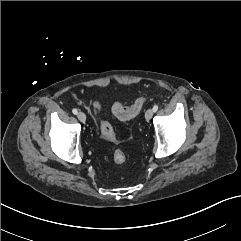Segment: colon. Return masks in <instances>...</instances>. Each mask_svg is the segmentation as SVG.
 Segmentation results:
<instances>
[{"instance_id":"obj_1","label":"colon","mask_w":241,"mask_h":241,"mask_svg":"<svg viewBox=\"0 0 241 241\" xmlns=\"http://www.w3.org/2000/svg\"><path fill=\"white\" fill-rule=\"evenodd\" d=\"M144 104L145 98H139L131 105L115 103L113 105V112L117 118L127 120L136 116L142 110ZM101 132L109 141H114L116 139L113 127L108 121H103L101 123ZM113 160L118 165L124 164L126 161V155L122 150L118 149L113 154Z\"/></svg>"}]
</instances>
